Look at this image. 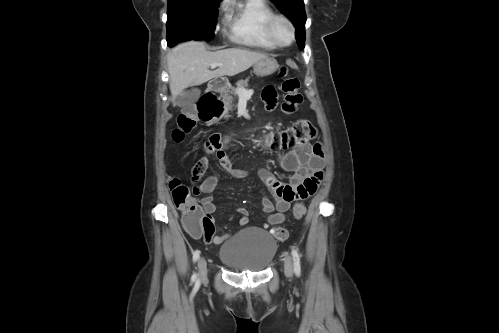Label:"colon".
<instances>
[{"label": "colon", "instance_id": "5ec220e1", "mask_svg": "<svg viewBox=\"0 0 499 333\" xmlns=\"http://www.w3.org/2000/svg\"><path fill=\"white\" fill-rule=\"evenodd\" d=\"M281 90L284 94L282 102V111L286 114H294L298 111L303 101L302 94L299 92L300 83L296 77L287 74L286 69H282ZM209 100L217 113L222 110V103L215 96H209ZM196 126V118L189 112L179 115L176 127L172 131V139L180 143L185 136L189 134ZM169 189L175 206L182 212L183 225L185 229L193 235L201 236L205 241H210L214 236V224L211 216L208 215L203 207L191 196L188 186L179 179L173 178L169 182ZM306 214V207L297 203L293 207V216L296 219L302 218ZM273 236L284 241L288 237V231L283 227H275L271 230Z\"/></svg>", "mask_w": 499, "mask_h": 333}]
</instances>
